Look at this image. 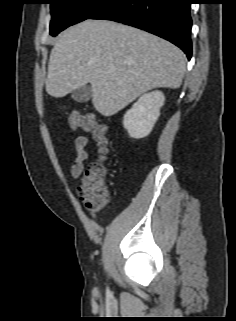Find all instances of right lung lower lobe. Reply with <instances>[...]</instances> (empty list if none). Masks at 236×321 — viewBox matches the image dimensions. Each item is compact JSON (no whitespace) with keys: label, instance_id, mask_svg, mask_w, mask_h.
Segmentation results:
<instances>
[{"label":"right lung lower lobe","instance_id":"right-lung-lower-lobe-1","mask_svg":"<svg viewBox=\"0 0 236 321\" xmlns=\"http://www.w3.org/2000/svg\"><path fill=\"white\" fill-rule=\"evenodd\" d=\"M190 0H110L91 19L124 23L159 37L181 48L190 60Z\"/></svg>","mask_w":236,"mask_h":321}]
</instances>
